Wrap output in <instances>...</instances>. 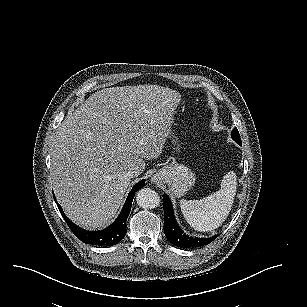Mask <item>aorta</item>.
<instances>
[{"label": "aorta", "instance_id": "762f6f07", "mask_svg": "<svg viewBox=\"0 0 307 307\" xmlns=\"http://www.w3.org/2000/svg\"><path fill=\"white\" fill-rule=\"evenodd\" d=\"M136 202L143 209H154L159 206L160 197L154 190L142 188L137 192Z\"/></svg>", "mask_w": 307, "mask_h": 307}]
</instances>
